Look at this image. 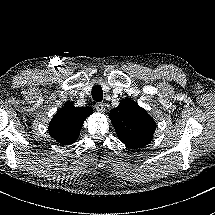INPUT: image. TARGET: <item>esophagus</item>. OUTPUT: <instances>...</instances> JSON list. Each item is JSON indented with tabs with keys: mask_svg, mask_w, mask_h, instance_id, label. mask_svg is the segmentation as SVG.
Here are the masks:
<instances>
[{
	"mask_svg": "<svg viewBox=\"0 0 215 215\" xmlns=\"http://www.w3.org/2000/svg\"><path fill=\"white\" fill-rule=\"evenodd\" d=\"M95 108L98 112H104L105 111V105L102 102H97L95 104Z\"/></svg>",
	"mask_w": 215,
	"mask_h": 215,
	"instance_id": "1",
	"label": "esophagus"
}]
</instances>
